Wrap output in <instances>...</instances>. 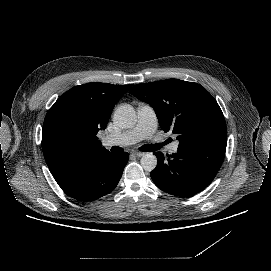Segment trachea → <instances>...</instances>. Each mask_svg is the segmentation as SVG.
Here are the masks:
<instances>
[{"label": "trachea", "mask_w": 271, "mask_h": 271, "mask_svg": "<svg viewBox=\"0 0 271 271\" xmlns=\"http://www.w3.org/2000/svg\"><path fill=\"white\" fill-rule=\"evenodd\" d=\"M170 141L169 139L160 143V144H150V145H144L140 148L141 151H145V152H153L156 150H159L160 148H162L163 146H165L166 144H168ZM112 152H122V148L118 147V146H113L111 148Z\"/></svg>", "instance_id": "trachea-1"}]
</instances>
